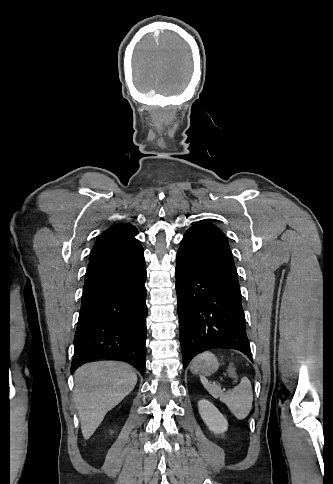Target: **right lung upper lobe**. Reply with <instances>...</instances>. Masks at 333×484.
<instances>
[{
	"instance_id": "right-lung-upper-lobe-1",
	"label": "right lung upper lobe",
	"mask_w": 333,
	"mask_h": 484,
	"mask_svg": "<svg viewBox=\"0 0 333 484\" xmlns=\"http://www.w3.org/2000/svg\"><path fill=\"white\" fill-rule=\"evenodd\" d=\"M137 233V228L128 223L109 227L97 238L89 258L122 254L141 246L135 238Z\"/></svg>"
}]
</instances>
